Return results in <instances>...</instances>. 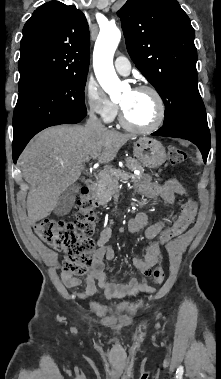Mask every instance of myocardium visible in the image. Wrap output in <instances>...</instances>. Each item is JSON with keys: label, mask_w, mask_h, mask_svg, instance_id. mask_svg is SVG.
I'll use <instances>...</instances> for the list:
<instances>
[{"label": "myocardium", "mask_w": 221, "mask_h": 379, "mask_svg": "<svg viewBox=\"0 0 221 379\" xmlns=\"http://www.w3.org/2000/svg\"><path fill=\"white\" fill-rule=\"evenodd\" d=\"M135 91L136 92H147V93H150L154 97L155 102H156V106H157L156 117L150 125L138 126V125L131 123L127 119L122 106H120V115H119L120 123L122 124L123 127H125L126 129H128L130 131H133V132L144 133V134L154 132L160 128V126L163 124V122L165 120L166 106H165L164 99H163L161 93L155 87L150 86V85L138 86L135 89Z\"/></svg>", "instance_id": "myocardium-1"}]
</instances>
